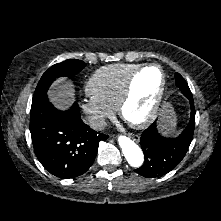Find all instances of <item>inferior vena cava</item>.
Here are the masks:
<instances>
[{"instance_id":"1","label":"inferior vena cava","mask_w":221,"mask_h":221,"mask_svg":"<svg viewBox=\"0 0 221 221\" xmlns=\"http://www.w3.org/2000/svg\"><path fill=\"white\" fill-rule=\"evenodd\" d=\"M85 122L94 130H104L105 127L107 126V123L104 118L97 116V115H92L86 117Z\"/></svg>"}]
</instances>
